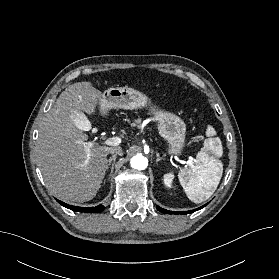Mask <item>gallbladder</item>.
Returning <instances> with one entry per match:
<instances>
[{"label": "gallbladder", "mask_w": 279, "mask_h": 279, "mask_svg": "<svg viewBox=\"0 0 279 279\" xmlns=\"http://www.w3.org/2000/svg\"><path fill=\"white\" fill-rule=\"evenodd\" d=\"M72 121L78 126L82 127L84 126L83 123H85L84 115L82 112L78 110H74L70 113Z\"/></svg>", "instance_id": "gallbladder-1"}]
</instances>
